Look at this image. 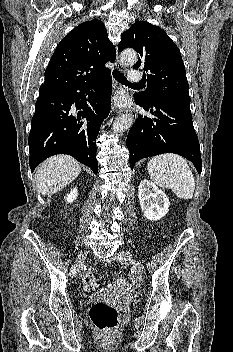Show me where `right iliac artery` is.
I'll use <instances>...</instances> for the list:
<instances>
[{
  "label": "right iliac artery",
  "instance_id": "82829eb1",
  "mask_svg": "<svg viewBox=\"0 0 233 352\" xmlns=\"http://www.w3.org/2000/svg\"><path fill=\"white\" fill-rule=\"evenodd\" d=\"M77 265H73L70 271V276L73 277L76 273Z\"/></svg>",
  "mask_w": 233,
  "mask_h": 352
}]
</instances>
